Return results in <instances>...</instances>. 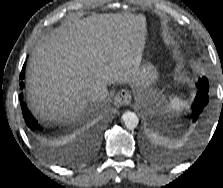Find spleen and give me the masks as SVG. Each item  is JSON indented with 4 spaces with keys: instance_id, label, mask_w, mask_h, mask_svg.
I'll return each mask as SVG.
<instances>
[{
    "instance_id": "1",
    "label": "spleen",
    "mask_w": 223,
    "mask_h": 188,
    "mask_svg": "<svg viewBox=\"0 0 223 188\" xmlns=\"http://www.w3.org/2000/svg\"><path fill=\"white\" fill-rule=\"evenodd\" d=\"M187 104V102L177 95L175 96H170L169 99L167 100L166 104V109L169 112H176L180 110L182 107H184Z\"/></svg>"
}]
</instances>
